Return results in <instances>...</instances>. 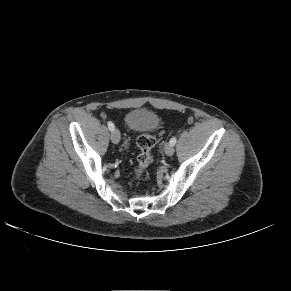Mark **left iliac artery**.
Returning a JSON list of instances; mask_svg holds the SVG:
<instances>
[{
	"label": "left iliac artery",
	"instance_id": "left-iliac-artery-1",
	"mask_svg": "<svg viewBox=\"0 0 291 291\" xmlns=\"http://www.w3.org/2000/svg\"><path fill=\"white\" fill-rule=\"evenodd\" d=\"M169 143L174 146L176 144V137H172Z\"/></svg>",
	"mask_w": 291,
	"mask_h": 291
}]
</instances>
